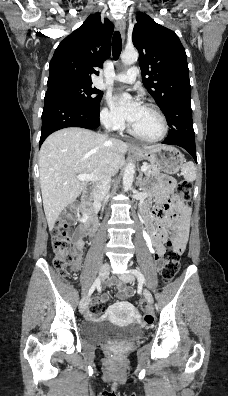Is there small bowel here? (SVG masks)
<instances>
[{
  "instance_id": "c3829d8e",
  "label": "small bowel",
  "mask_w": 228,
  "mask_h": 396,
  "mask_svg": "<svg viewBox=\"0 0 228 396\" xmlns=\"http://www.w3.org/2000/svg\"><path fill=\"white\" fill-rule=\"evenodd\" d=\"M166 179L167 178H162L158 182H153V188L159 194L158 199L160 203L158 208L150 211L151 216L158 220L156 230L150 234L152 244L155 247V258L157 261L162 258L165 252L164 240L165 233L168 229L174 232L175 247L182 251L186 247L189 233V210L180 202H172L170 200L167 190L169 184H167ZM83 250L84 241L80 236L75 243V252L77 255L76 267L81 260ZM110 284H114L118 287V296L121 299V302L114 305L113 308L124 305L123 299L131 295V290L114 279L110 281ZM108 301L109 296L107 294H102L100 302L106 304ZM87 318H91L90 310L87 313Z\"/></svg>"
}]
</instances>
